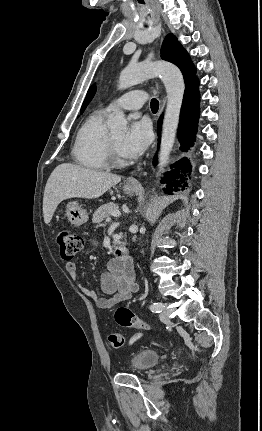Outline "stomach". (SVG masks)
Instances as JSON below:
<instances>
[{"label":"stomach","instance_id":"1","mask_svg":"<svg viewBox=\"0 0 262 431\" xmlns=\"http://www.w3.org/2000/svg\"><path fill=\"white\" fill-rule=\"evenodd\" d=\"M123 190L127 195H133L136 191V187L124 186ZM66 216L69 222L76 226L82 225L89 219L87 211L82 208L77 201L68 202L66 206Z\"/></svg>","mask_w":262,"mask_h":431}]
</instances>
